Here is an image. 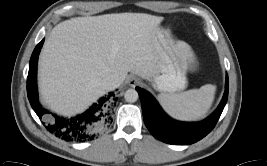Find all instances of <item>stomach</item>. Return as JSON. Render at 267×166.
I'll return each instance as SVG.
<instances>
[{"instance_id":"0dacf381","label":"stomach","mask_w":267,"mask_h":166,"mask_svg":"<svg viewBox=\"0 0 267 166\" xmlns=\"http://www.w3.org/2000/svg\"><path fill=\"white\" fill-rule=\"evenodd\" d=\"M159 30L164 43L159 53L156 73L150 80L159 91L168 93L182 91L187 86V60L176 49L170 30L162 25L159 26Z\"/></svg>"}]
</instances>
